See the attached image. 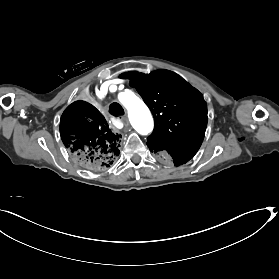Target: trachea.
Segmentation results:
<instances>
[{"instance_id":"obj_1","label":"trachea","mask_w":279,"mask_h":279,"mask_svg":"<svg viewBox=\"0 0 279 279\" xmlns=\"http://www.w3.org/2000/svg\"><path fill=\"white\" fill-rule=\"evenodd\" d=\"M109 113L112 115H124V109L119 103H112L109 107Z\"/></svg>"}]
</instances>
